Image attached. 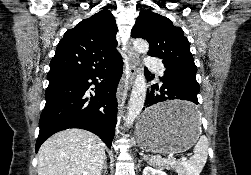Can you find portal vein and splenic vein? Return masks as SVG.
<instances>
[{
	"mask_svg": "<svg viewBox=\"0 0 251 175\" xmlns=\"http://www.w3.org/2000/svg\"><path fill=\"white\" fill-rule=\"evenodd\" d=\"M168 157H169V158H174V157H175V154H174V153H169V154H168ZM179 161H180V162H186V161H187V158H186V157H180V158H179Z\"/></svg>",
	"mask_w": 251,
	"mask_h": 175,
	"instance_id": "1",
	"label": "portal vein and splenic vein"
}]
</instances>
